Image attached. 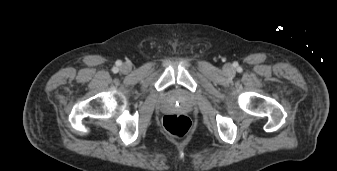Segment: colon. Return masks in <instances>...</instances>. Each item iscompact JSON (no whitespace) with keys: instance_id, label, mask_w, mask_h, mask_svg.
<instances>
[{"instance_id":"colon-1","label":"colon","mask_w":337,"mask_h":171,"mask_svg":"<svg viewBox=\"0 0 337 171\" xmlns=\"http://www.w3.org/2000/svg\"><path fill=\"white\" fill-rule=\"evenodd\" d=\"M163 126L169 134L173 136H183L189 131L191 121L184 115L171 114L163 118Z\"/></svg>"}]
</instances>
